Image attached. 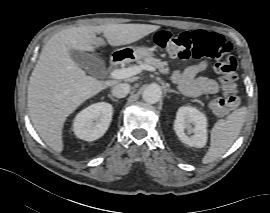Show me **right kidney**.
Instances as JSON below:
<instances>
[{
  "label": "right kidney",
  "instance_id": "1",
  "mask_svg": "<svg viewBox=\"0 0 270 213\" xmlns=\"http://www.w3.org/2000/svg\"><path fill=\"white\" fill-rule=\"evenodd\" d=\"M113 107L106 102H98L82 110L75 117L73 131L85 141H93L105 134L112 120Z\"/></svg>",
  "mask_w": 270,
  "mask_h": 213
}]
</instances>
